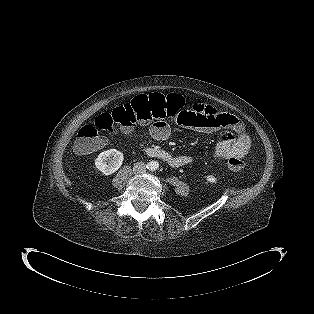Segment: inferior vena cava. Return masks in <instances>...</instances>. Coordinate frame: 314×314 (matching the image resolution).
Returning <instances> with one entry per match:
<instances>
[{"instance_id":"inferior-vena-cava-1","label":"inferior vena cava","mask_w":314,"mask_h":314,"mask_svg":"<svg viewBox=\"0 0 314 314\" xmlns=\"http://www.w3.org/2000/svg\"><path fill=\"white\" fill-rule=\"evenodd\" d=\"M136 173L146 172V164L144 162H137L133 168Z\"/></svg>"}]
</instances>
